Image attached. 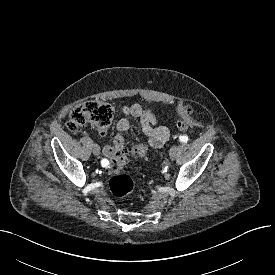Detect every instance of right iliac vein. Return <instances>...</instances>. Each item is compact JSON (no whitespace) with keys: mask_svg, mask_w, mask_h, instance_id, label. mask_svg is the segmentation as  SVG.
Masks as SVG:
<instances>
[{"mask_svg":"<svg viewBox=\"0 0 275 275\" xmlns=\"http://www.w3.org/2000/svg\"><path fill=\"white\" fill-rule=\"evenodd\" d=\"M92 151L94 155L98 156L100 154V147L97 144H94Z\"/></svg>","mask_w":275,"mask_h":275,"instance_id":"obj_1","label":"right iliac vein"}]
</instances>
